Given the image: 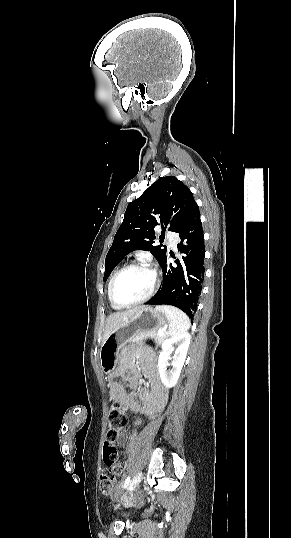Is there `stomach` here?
Segmentation results:
<instances>
[{"label": "stomach", "instance_id": "stomach-1", "mask_svg": "<svg viewBox=\"0 0 291 538\" xmlns=\"http://www.w3.org/2000/svg\"><path fill=\"white\" fill-rule=\"evenodd\" d=\"M167 317L164 313L145 307L135 313L130 320L115 329L100 348V361L103 372L108 376L110 369H117L119 350L139 333L156 332L165 327Z\"/></svg>", "mask_w": 291, "mask_h": 538}]
</instances>
